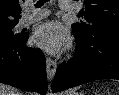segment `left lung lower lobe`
Returning a JSON list of instances; mask_svg holds the SVG:
<instances>
[{
    "mask_svg": "<svg viewBox=\"0 0 119 95\" xmlns=\"http://www.w3.org/2000/svg\"><path fill=\"white\" fill-rule=\"evenodd\" d=\"M75 37L76 52L71 60L58 67L53 92L98 79H119V35Z\"/></svg>",
    "mask_w": 119,
    "mask_h": 95,
    "instance_id": "0a47b994",
    "label": "left lung lower lobe"
}]
</instances>
